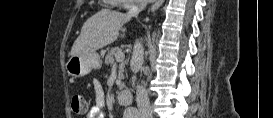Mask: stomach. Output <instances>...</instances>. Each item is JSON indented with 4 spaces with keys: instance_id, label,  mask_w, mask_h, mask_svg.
I'll list each match as a JSON object with an SVG mask.
<instances>
[{
    "instance_id": "0dacf381",
    "label": "stomach",
    "mask_w": 273,
    "mask_h": 118,
    "mask_svg": "<svg viewBox=\"0 0 273 118\" xmlns=\"http://www.w3.org/2000/svg\"><path fill=\"white\" fill-rule=\"evenodd\" d=\"M102 60L98 53L71 56L66 63L68 75L79 78L86 76L93 69L101 68Z\"/></svg>"
}]
</instances>
